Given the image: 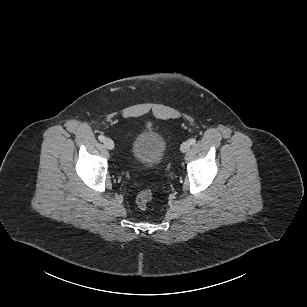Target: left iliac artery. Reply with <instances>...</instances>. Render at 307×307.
Masks as SVG:
<instances>
[{
    "label": "left iliac artery",
    "instance_id": "obj_1",
    "mask_svg": "<svg viewBox=\"0 0 307 307\" xmlns=\"http://www.w3.org/2000/svg\"><path fill=\"white\" fill-rule=\"evenodd\" d=\"M189 142H190L191 145H194L196 143V139L195 138H191L189 140Z\"/></svg>",
    "mask_w": 307,
    "mask_h": 307
}]
</instances>
